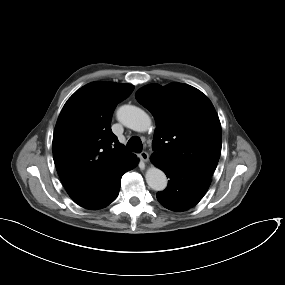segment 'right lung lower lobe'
Masks as SVG:
<instances>
[{
    "mask_svg": "<svg viewBox=\"0 0 285 285\" xmlns=\"http://www.w3.org/2000/svg\"><path fill=\"white\" fill-rule=\"evenodd\" d=\"M137 163H138V160H137V157H136V158H134L132 160L128 170L134 168L137 165ZM121 177L122 176H120L118 178V180L108 189V191L103 196V198H101L96 203H93V204H91V205H89L87 207H84V208L91 209V210H97V209L104 208V207L108 206L111 202H113L116 199V197L118 196V193H119Z\"/></svg>",
    "mask_w": 285,
    "mask_h": 285,
    "instance_id": "right-lung-lower-lobe-1",
    "label": "right lung lower lobe"
}]
</instances>
